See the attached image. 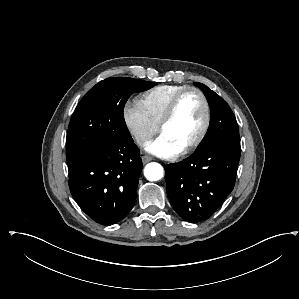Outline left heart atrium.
<instances>
[{"label": "left heart atrium", "mask_w": 299, "mask_h": 299, "mask_svg": "<svg viewBox=\"0 0 299 299\" xmlns=\"http://www.w3.org/2000/svg\"><path fill=\"white\" fill-rule=\"evenodd\" d=\"M145 148L148 152L163 158H172L181 152V149L178 146L173 144L162 134L152 142L148 143Z\"/></svg>", "instance_id": "left-heart-atrium-1"}]
</instances>
